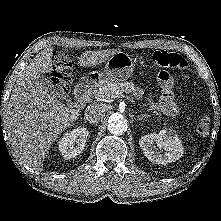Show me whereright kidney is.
Wrapping results in <instances>:
<instances>
[{"label":"right kidney","mask_w":221,"mask_h":221,"mask_svg":"<svg viewBox=\"0 0 221 221\" xmlns=\"http://www.w3.org/2000/svg\"><path fill=\"white\" fill-rule=\"evenodd\" d=\"M89 131L85 127H78L67 132L59 140L58 148L65 159H71L79 155L86 145Z\"/></svg>","instance_id":"ca27d5eb"}]
</instances>
